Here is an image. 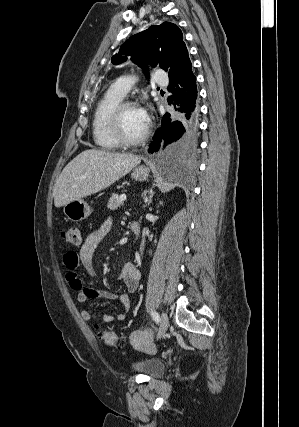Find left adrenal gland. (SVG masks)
<instances>
[{
	"mask_svg": "<svg viewBox=\"0 0 299 427\" xmlns=\"http://www.w3.org/2000/svg\"><path fill=\"white\" fill-rule=\"evenodd\" d=\"M153 193H151L148 197L145 198L146 205H149L152 202ZM144 205V207L146 206Z\"/></svg>",
	"mask_w": 299,
	"mask_h": 427,
	"instance_id": "1",
	"label": "left adrenal gland"
}]
</instances>
